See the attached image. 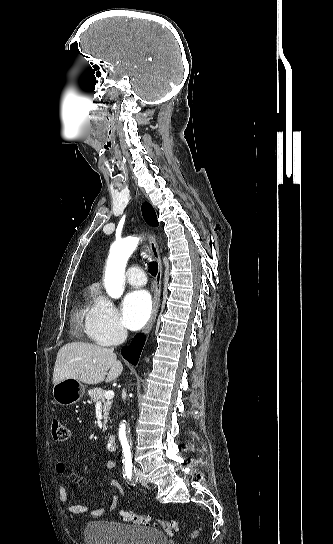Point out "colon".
I'll list each match as a JSON object with an SVG mask.
<instances>
[{"instance_id": "5ec220e1", "label": "colon", "mask_w": 333, "mask_h": 544, "mask_svg": "<svg viewBox=\"0 0 333 544\" xmlns=\"http://www.w3.org/2000/svg\"><path fill=\"white\" fill-rule=\"evenodd\" d=\"M51 432L53 438L56 441L60 442L68 440L70 436V431L68 427L60 419L57 418L53 419L52 421ZM121 517L125 521L132 522L141 526H160L169 536H172L181 530V526L179 525V523L173 520L156 522L148 516L135 514L131 511L126 510L121 511ZM197 535L198 531L196 530L190 534L192 538H195Z\"/></svg>"}]
</instances>
